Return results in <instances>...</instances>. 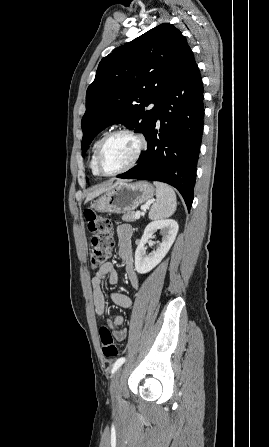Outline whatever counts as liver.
I'll use <instances>...</instances> for the list:
<instances>
[{
	"label": "liver",
	"mask_w": 269,
	"mask_h": 447,
	"mask_svg": "<svg viewBox=\"0 0 269 447\" xmlns=\"http://www.w3.org/2000/svg\"><path fill=\"white\" fill-rule=\"evenodd\" d=\"M117 184H114V186H106V184H100V186H95L93 192H89L87 194V198L85 202H88V200H93V198H96V196H100V194H103V192H110L112 188H115Z\"/></svg>",
	"instance_id": "6515ba94"
}]
</instances>
